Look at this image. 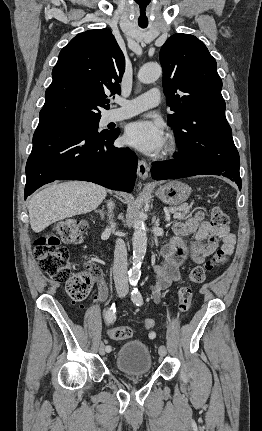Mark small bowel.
<instances>
[{
	"label": "small bowel",
	"instance_id": "obj_1",
	"mask_svg": "<svg viewBox=\"0 0 262 431\" xmlns=\"http://www.w3.org/2000/svg\"><path fill=\"white\" fill-rule=\"evenodd\" d=\"M203 217L201 211H196L190 218L173 225L174 234L170 242L162 248V261L156 267V280L152 286L156 303H160L163 290L181 280L180 268L186 257L190 256L197 263L203 262L207 257L216 254L219 239L222 241L220 249L227 254L232 253L236 240L229 227H213L208 221H202ZM189 235L193 236V240L186 243L184 237ZM107 295L108 289L100 281L97 299L104 300ZM149 336L154 339L156 333L152 331Z\"/></svg>",
	"mask_w": 262,
	"mask_h": 431
}]
</instances>
